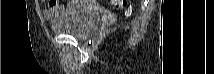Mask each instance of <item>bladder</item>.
Returning <instances> with one entry per match:
<instances>
[{
	"instance_id": "1",
	"label": "bladder",
	"mask_w": 214,
	"mask_h": 74,
	"mask_svg": "<svg viewBox=\"0 0 214 74\" xmlns=\"http://www.w3.org/2000/svg\"><path fill=\"white\" fill-rule=\"evenodd\" d=\"M100 18L101 13L91 6H67L53 19L52 28L56 33L82 39L95 30Z\"/></svg>"
}]
</instances>
